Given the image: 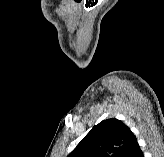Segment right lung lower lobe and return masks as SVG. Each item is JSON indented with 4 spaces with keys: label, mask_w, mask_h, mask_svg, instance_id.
<instances>
[{
    "label": "right lung lower lobe",
    "mask_w": 164,
    "mask_h": 157,
    "mask_svg": "<svg viewBox=\"0 0 164 157\" xmlns=\"http://www.w3.org/2000/svg\"><path fill=\"white\" fill-rule=\"evenodd\" d=\"M125 157H144L137 141L133 143Z\"/></svg>",
    "instance_id": "98d812e1"
}]
</instances>
